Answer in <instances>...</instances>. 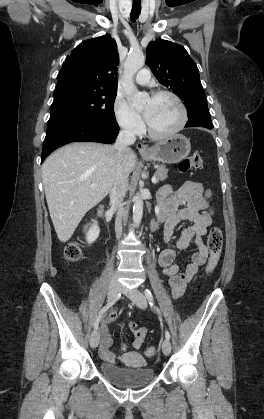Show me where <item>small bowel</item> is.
I'll return each mask as SVG.
<instances>
[{"label":"small bowel","instance_id":"c3829d8e","mask_svg":"<svg viewBox=\"0 0 264 419\" xmlns=\"http://www.w3.org/2000/svg\"><path fill=\"white\" fill-rule=\"evenodd\" d=\"M159 218L164 222L163 240L167 246L159 254V265L163 273L169 277L172 296L179 298L185 291L187 285L198 273L199 268L204 265L209 257V251L203 242V237L212 223L210 215L206 212L208 202L204 195L203 186L193 181H185L178 187L164 185L158 193ZM189 221L191 225L183 230L176 242L179 250H186L191 245L197 247L192 253L191 262L181 270L176 261V251L168 246L174 233L175 227L181 221ZM116 320V314L110 313L107 317L108 323ZM131 333L134 337L132 346L139 351L145 343L148 329L139 327L135 322L130 324ZM112 336L107 327L103 330L99 353L104 361L116 363L119 356L111 350ZM126 345L120 346L125 351ZM131 353H125L122 358L126 360Z\"/></svg>","mask_w":264,"mask_h":419}]
</instances>
